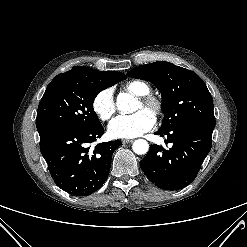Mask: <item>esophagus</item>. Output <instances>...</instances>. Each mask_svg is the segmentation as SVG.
Listing matches in <instances>:
<instances>
[{
	"mask_svg": "<svg viewBox=\"0 0 247 247\" xmlns=\"http://www.w3.org/2000/svg\"><path fill=\"white\" fill-rule=\"evenodd\" d=\"M132 142H133V140H130V139H123L122 140L123 144H129V143H132Z\"/></svg>",
	"mask_w": 247,
	"mask_h": 247,
	"instance_id": "obj_1",
	"label": "esophagus"
}]
</instances>
